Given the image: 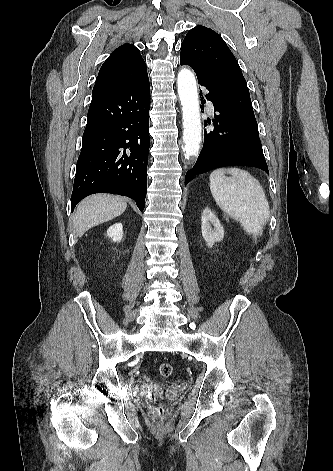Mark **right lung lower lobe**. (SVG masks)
Segmentation results:
<instances>
[{
    "label": "right lung lower lobe",
    "mask_w": 333,
    "mask_h": 471,
    "mask_svg": "<svg viewBox=\"0 0 333 471\" xmlns=\"http://www.w3.org/2000/svg\"><path fill=\"white\" fill-rule=\"evenodd\" d=\"M149 109L148 75L125 91L91 102L76 165L72 211L84 197L99 192L127 196L144 209Z\"/></svg>",
    "instance_id": "1"
}]
</instances>
